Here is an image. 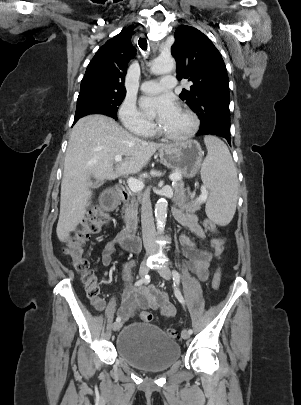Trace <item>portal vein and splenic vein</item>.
<instances>
[{
    "label": "portal vein and splenic vein",
    "mask_w": 301,
    "mask_h": 405,
    "mask_svg": "<svg viewBox=\"0 0 301 405\" xmlns=\"http://www.w3.org/2000/svg\"><path fill=\"white\" fill-rule=\"evenodd\" d=\"M115 162L119 163L122 161V156L121 155H116L114 157ZM170 180L173 182L181 180L182 176L180 173H174L170 175ZM128 187L132 192H140L144 188V183L140 180L134 179V178H128L127 180ZM207 191L205 189L202 190L201 195L197 198V201L199 202H205L207 199Z\"/></svg>",
    "instance_id": "portal-vein-and-splenic-vein-1"
}]
</instances>
